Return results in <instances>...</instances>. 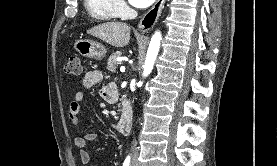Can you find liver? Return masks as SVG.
Wrapping results in <instances>:
<instances>
[{
	"label": "liver",
	"instance_id": "obj_1",
	"mask_svg": "<svg viewBox=\"0 0 277 166\" xmlns=\"http://www.w3.org/2000/svg\"><path fill=\"white\" fill-rule=\"evenodd\" d=\"M131 28L126 23L106 22L94 26L87 34L97 37L114 47H124L130 41Z\"/></svg>",
	"mask_w": 277,
	"mask_h": 166
}]
</instances>
